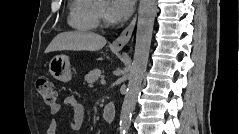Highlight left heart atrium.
Segmentation results:
<instances>
[{
  "mask_svg": "<svg viewBox=\"0 0 239 134\" xmlns=\"http://www.w3.org/2000/svg\"><path fill=\"white\" fill-rule=\"evenodd\" d=\"M133 0H112L106 9V17L113 23L126 20L133 11Z\"/></svg>",
  "mask_w": 239,
  "mask_h": 134,
  "instance_id": "left-heart-atrium-1",
  "label": "left heart atrium"
}]
</instances>
